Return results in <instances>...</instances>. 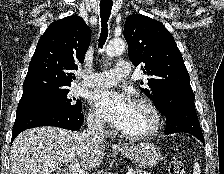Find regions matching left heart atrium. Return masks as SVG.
<instances>
[{
    "mask_svg": "<svg viewBox=\"0 0 224 174\" xmlns=\"http://www.w3.org/2000/svg\"><path fill=\"white\" fill-rule=\"evenodd\" d=\"M91 102L99 113L118 129L123 126L133 106V102L126 94L114 90L94 92L91 95Z\"/></svg>",
    "mask_w": 224,
    "mask_h": 174,
    "instance_id": "obj_1",
    "label": "left heart atrium"
}]
</instances>
